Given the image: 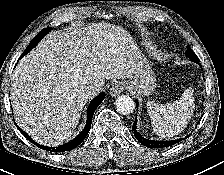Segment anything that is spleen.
I'll return each mask as SVG.
<instances>
[{"mask_svg": "<svg viewBox=\"0 0 224 175\" xmlns=\"http://www.w3.org/2000/svg\"><path fill=\"white\" fill-rule=\"evenodd\" d=\"M193 93V89L188 88L180 99L166 104L148 101L147 109L156 135L171 138L185 128L194 109Z\"/></svg>", "mask_w": 224, "mask_h": 175, "instance_id": "3e777b00", "label": "spleen"}]
</instances>
